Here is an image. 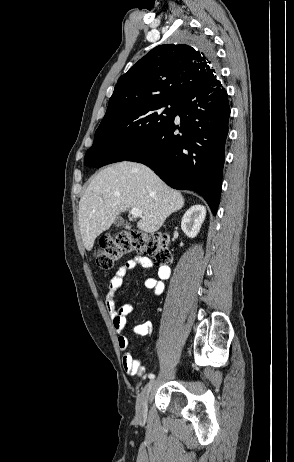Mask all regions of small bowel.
Segmentation results:
<instances>
[{
    "instance_id": "c3829d8e",
    "label": "small bowel",
    "mask_w": 294,
    "mask_h": 462,
    "mask_svg": "<svg viewBox=\"0 0 294 462\" xmlns=\"http://www.w3.org/2000/svg\"><path fill=\"white\" fill-rule=\"evenodd\" d=\"M138 266L152 268L154 264L148 257H135L128 260L123 266L119 267L115 274L108 280L104 301L118 338V346L120 350L124 352L122 364L125 372L128 375H136L145 379L147 372L143 366L144 357H135L128 351L129 339L125 334L127 317L132 311V305L124 304L119 308H117L116 305V293L122 286L124 277L128 271L134 270ZM156 269L157 277L146 279L145 286L158 296L164 291V281L170 277L171 269L167 265H156ZM152 330L153 325L150 321L142 322L132 329L133 333L140 337L150 335Z\"/></svg>"
}]
</instances>
